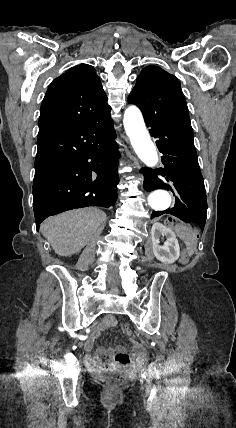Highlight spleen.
<instances>
[{
	"mask_svg": "<svg viewBox=\"0 0 236 428\" xmlns=\"http://www.w3.org/2000/svg\"><path fill=\"white\" fill-rule=\"evenodd\" d=\"M175 232L177 236L183 240L184 244H186L188 256H192L197 246V238L192 228H187V226H176Z\"/></svg>",
	"mask_w": 236,
	"mask_h": 428,
	"instance_id": "obj_1",
	"label": "spleen"
}]
</instances>
